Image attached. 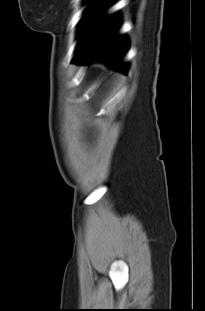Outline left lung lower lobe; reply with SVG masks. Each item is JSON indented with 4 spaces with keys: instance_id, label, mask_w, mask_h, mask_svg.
<instances>
[{
    "instance_id": "1",
    "label": "left lung lower lobe",
    "mask_w": 205,
    "mask_h": 311,
    "mask_svg": "<svg viewBox=\"0 0 205 311\" xmlns=\"http://www.w3.org/2000/svg\"><path fill=\"white\" fill-rule=\"evenodd\" d=\"M118 26L117 17L109 18L78 46L73 62L83 64L103 60L109 63L110 67L125 73V67L120 62L126 52L127 42L124 37L115 35Z\"/></svg>"
}]
</instances>
